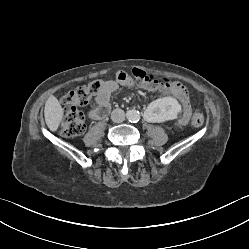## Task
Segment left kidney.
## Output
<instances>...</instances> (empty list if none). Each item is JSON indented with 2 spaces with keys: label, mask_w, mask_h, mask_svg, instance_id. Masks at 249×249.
<instances>
[{
  "label": "left kidney",
  "mask_w": 249,
  "mask_h": 249,
  "mask_svg": "<svg viewBox=\"0 0 249 249\" xmlns=\"http://www.w3.org/2000/svg\"><path fill=\"white\" fill-rule=\"evenodd\" d=\"M182 113V104L175 95H168L163 99L153 101L142 109L143 120L152 126L176 121Z\"/></svg>",
  "instance_id": "1"
}]
</instances>
